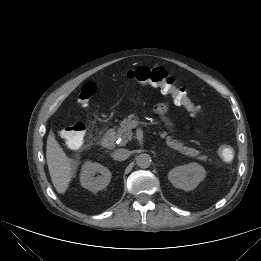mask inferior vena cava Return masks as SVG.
Wrapping results in <instances>:
<instances>
[{"label": "inferior vena cava", "mask_w": 261, "mask_h": 261, "mask_svg": "<svg viewBox=\"0 0 261 261\" xmlns=\"http://www.w3.org/2000/svg\"><path fill=\"white\" fill-rule=\"evenodd\" d=\"M129 156H130V151H128L127 149H122V148L115 150V152L113 154L114 159L117 161H124Z\"/></svg>", "instance_id": "602c4592"}]
</instances>
